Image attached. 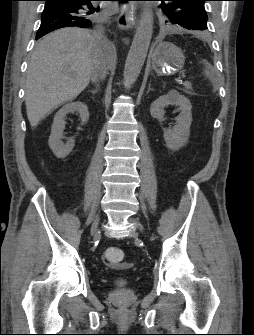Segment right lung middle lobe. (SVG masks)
I'll return each mask as SVG.
<instances>
[{
	"label": "right lung middle lobe",
	"instance_id": "1",
	"mask_svg": "<svg viewBox=\"0 0 254 335\" xmlns=\"http://www.w3.org/2000/svg\"><path fill=\"white\" fill-rule=\"evenodd\" d=\"M100 10V8H95V11H94V13H93V15H92V19H96L97 17H98V14H97V12Z\"/></svg>",
	"mask_w": 254,
	"mask_h": 335
}]
</instances>
